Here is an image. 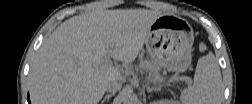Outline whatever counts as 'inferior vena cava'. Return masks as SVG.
Wrapping results in <instances>:
<instances>
[{
  "label": "inferior vena cava",
  "instance_id": "602c4592",
  "mask_svg": "<svg viewBox=\"0 0 252 104\" xmlns=\"http://www.w3.org/2000/svg\"><path fill=\"white\" fill-rule=\"evenodd\" d=\"M122 88L121 82L118 80H111L106 85V91L110 93H116Z\"/></svg>",
  "mask_w": 252,
  "mask_h": 104
}]
</instances>
